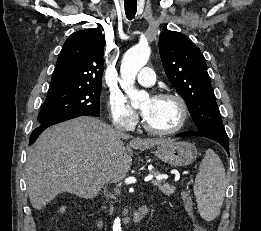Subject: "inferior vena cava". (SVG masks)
<instances>
[{"label": "inferior vena cava", "mask_w": 261, "mask_h": 231, "mask_svg": "<svg viewBox=\"0 0 261 231\" xmlns=\"http://www.w3.org/2000/svg\"><path fill=\"white\" fill-rule=\"evenodd\" d=\"M113 126H114V129L116 130L117 133H119V134L123 133L124 128H123V126L120 122H113ZM103 188H104V194H106V189H107L106 183H105V187L103 186ZM106 197L108 198L109 195L106 194Z\"/></svg>", "instance_id": "obj_1"}]
</instances>
